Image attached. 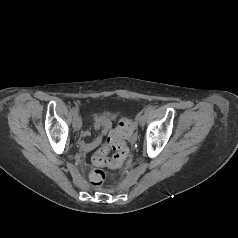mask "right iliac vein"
<instances>
[{"label":"right iliac vein","instance_id":"right-iliac-vein-1","mask_svg":"<svg viewBox=\"0 0 238 238\" xmlns=\"http://www.w3.org/2000/svg\"><path fill=\"white\" fill-rule=\"evenodd\" d=\"M82 125V121L81 118L77 115V116H73V127L76 131L80 130Z\"/></svg>","mask_w":238,"mask_h":238}]
</instances>
